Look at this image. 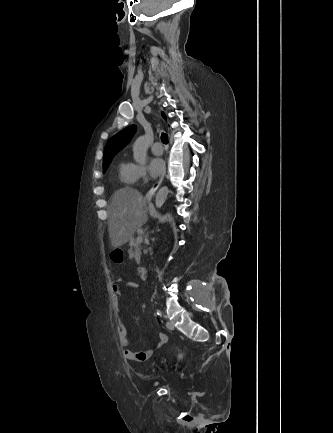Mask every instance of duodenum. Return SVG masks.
Instances as JSON below:
<instances>
[{"mask_svg": "<svg viewBox=\"0 0 333 433\" xmlns=\"http://www.w3.org/2000/svg\"><path fill=\"white\" fill-rule=\"evenodd\" d=\"M134 241H135V238H134V237H131V238H130L129 245H130V246H133V245H134ZM139 276H140V278H141L142 280H147L148 277H149V270H148V268H146V267H140V268H139Z\"/></svg>", "mask_w": 333, "mask_h": 433, "instance_id": "obj_1", "label": "duodenum"}]
</instances>
